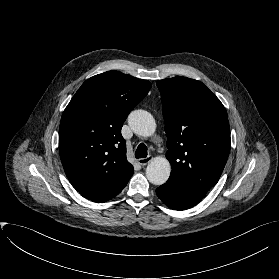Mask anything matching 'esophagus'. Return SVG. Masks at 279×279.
<instances>
[{"instance_id": "1", "label": "esophagus", "mask_w": 279, "mask_h": 279, "mask_svg": "<svg viewBox=\"0 0 279 279\" xmlns=\"http://www.w3.org/2000/svg\"><path fill=\"white\" fill-rule=\"evenodd\" d=\"M152 160H153V157L149 155L146 158H140L138 160V163L142 166H145V165L149 164Z\"/></svg>"}]
</instances>
